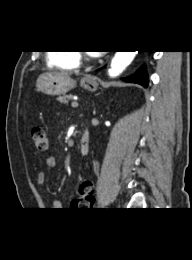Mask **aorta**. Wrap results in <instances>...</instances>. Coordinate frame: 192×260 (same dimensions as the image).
<instances>
[{"label":"aorta","instance_id":"762f6f07","mask_svg":"<svg viewBox=\"0 0 192 260\" xmlns=\"http://www.w3.org/2000/svg\"><path fill=\"white\" fill-rule=\"evenodd\" d=\"M136 54L137 51H117L112 58L109 75L118 76L133 61Z\"/></svg>","mask_w":192,"mask_h":260}]
</instances>
